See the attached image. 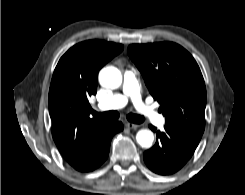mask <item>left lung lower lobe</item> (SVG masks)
<instances>
[{
  "label": "left lung lower lobe",
  "instance_id": "1",
  "mask_svg": "<svg viewBox=\"0 0 245 195\" xmlns=\"http://www.w3.org/2000/svg\"><path fill=\"white\" fill-rule=\"evenodd\" d=\"M153 131L156 128L150 125ZM158 140L144 152L146 165L155 173L169 175L181 169L197 148L202 134L185 128L166 124L165 131H157Z\"/></svg>",
  "mask_w": 245,
  "mask_h": 195
}]
</instances>
